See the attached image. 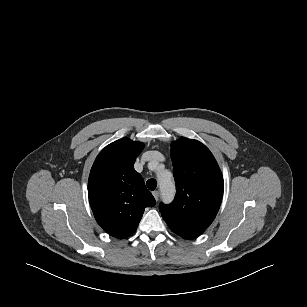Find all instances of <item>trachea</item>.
Masks as SVG:
<instances>
[{"label": "trachea", "mask_w": 307, "mask_h": 307, "mask_svg": "<svg viewBox=\"0 0 307 307\" xmlns=\"http://www.w3.org/2000/svg\"><path fill=\"white\" fill-rule=\"evenodd\" d=\"M146 185H147L149 190L153 191L157 187V181L155 179L151 178V179L147 180Z\"/></svg>", "instance_id": "1"}]
</instances>
